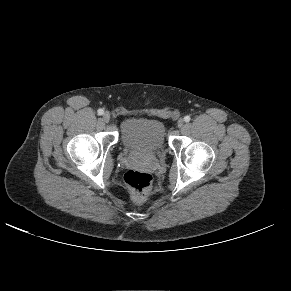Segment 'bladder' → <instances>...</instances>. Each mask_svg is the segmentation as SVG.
<instances>
[{"label":"bladder","mask_w":291,"mask_h":291,"mask_svg":"<svg viewBox=\"0 0 291 291\" xmlns=\"http://www.w3.org/2000/svg\"><path fill=\"white\" fill-rule=\"evenodd\" d=\"M166 126L157 118L130 117L122 122L120 140L131 151L157 152L166 143Z\"/></svg>","instance_id":"obj_1"}]
</instances>
